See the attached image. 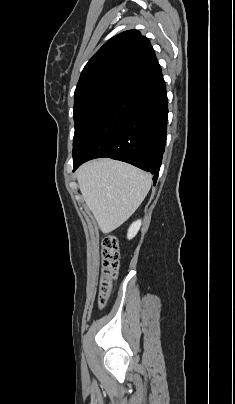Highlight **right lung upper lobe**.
Wrapping results in <instances>:
<instances>
[{
	"label": "right lung upper lobe",
	"mask_w": 235,
	"mask_h": 404,
	"mask_svg": "<svg viewBox=\"0 0 235 404\" xmlns=\"http://www.w3.org/2000/svg\"><path fill=\"white\" fill-rule=\"evenodd\" d=\"M159 67L149 40L137 30L107 41L85 65L75 93L99 83L131 81Z\"/></svg>",
	"instance_id": "cb5924a9"
}]
</instances>
